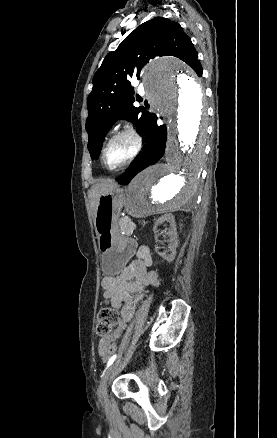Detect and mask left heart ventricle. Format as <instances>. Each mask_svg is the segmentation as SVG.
Segmentation results:
<instances>
[{
	"mask_svg": "<svg viewBox=\"0 0 277 438\" xmlns=\"http://www.w3.org/2000/svg\"><path fill=\"white\" fill-rule=\"evenodd\" d=\"M131 150L132 141L129 138L123 137L115 140L106 151L107 164L112 167L121 164L129 156Z\"/></svg>",
	"mask_w": 277,
	"mask_h": 438,
	"instance_id": "1",
	"label": "left heart ventricle"
}]
</instances>
